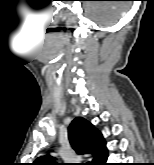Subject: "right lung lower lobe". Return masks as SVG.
Here are the masks:
<instances>
[{"mask_svg":"<svg viewBox=\"0 0 154 165\" xmlns=\"http://www.w3.org/2000/svg\"><path fill=\"white\" fill-rule=\"evenodd\" d=\"M107 148H106V143L104 142L99 151L97 156L94 158V160L92 161L91 165H108L106 163L107 161Z\"/></svg>","mask_w":154,"mask_h":165,"instance_id":"right-lung-lower-lobe-1","label":"right lung lower lobe"}]
</instances>
